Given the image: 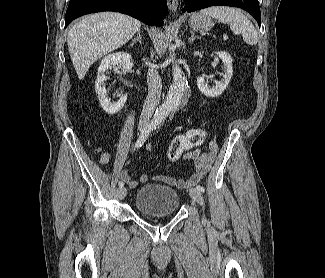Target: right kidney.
Returning <instances> with one entry per match:
<instances>
[{"instance_id":"ca27d5eb","label":"right kidney","mask_w":325,"mask_h":278,"mask_svg":"<svg viewBox=\"0 0 325 278\" xmlns=\"http://www.w3.org/2000/svg\"><path fill=\"white\" fill-rule=\"evenodd\" d=\"M114 66H120L126 70H130L133 67V58L129 53L120 51L106 55L100 63L95 82V91L98 94L101 107L108 114L119 112L127 101V94H122L119 100L113 103L107 96L105 82L108 80V77L105 75V72Z\"/></svg>"}]
</instances>
